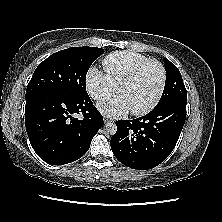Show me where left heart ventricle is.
Masks as SVG:
<instances>
[{
    "mask_svg": "<svg viewBox=\"0 0 222 222\" xmlns=\"http://www.w3.org/2000/svg\"><path fill=\"white\" fill-rule=\"evenodd\" d=\"M161 83V71L156 64L147 65L130 84L119 91L130 110L147 105L157 94Z\"/></svg>",
    "mask_w": 222,
    "mask_h": 222,
    "instance_id": "b2bd125f",
    "label": "left heart ventricle"
}]
</instances>
